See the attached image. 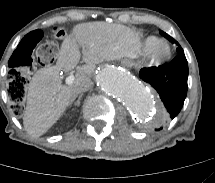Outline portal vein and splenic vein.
Here are the masks:
<instances>
[{
    "instance_id": "18ae733b",
    "label": "portal vein and splenic vein",
    "mask_w": 215,
    "mask_h": 183,
    "mask_svg": "<svg viewBox=\"0 0 215 183\" xmlns=\"http://www.w3.org/2000/svg\"><path fill=\"white\" fill-rule=\"evenodd\" d=\"M75 80V76L73 74H70L67 78H66V84L70 85L74 82Z\"/></svg>"
}]
</instances>
